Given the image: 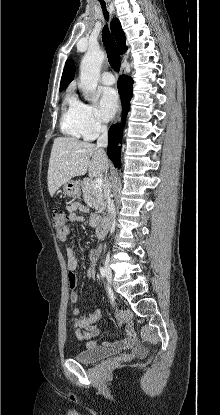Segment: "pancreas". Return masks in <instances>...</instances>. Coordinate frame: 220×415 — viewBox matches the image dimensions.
Instances as JSON below:
<instances>
[{"label":"pancreas","mask_w":220,"mask_h":415,"mask_svg":"<svg viewBox=\"0 0 220 415\" xmlns=\"http://www.w3.org/2000/svg\"><path fill=\"white\" fill-rule=\"evenodd\" d=\"M84 200L92 205L99 213H102L107 205L108 192L105 186L99 190L94 188V182L84 180L81 182Z\"/></svg>","instance_id":"obj_1"}]
</instances>
